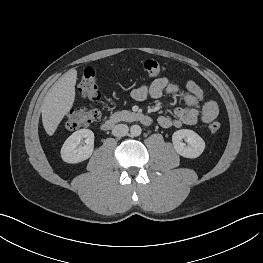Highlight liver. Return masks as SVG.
I'll return each instance as SVG.
<instances>
[{
    "label": "liver",
    "mask_w": 263,
    "mask_h": 263,
    "mask_svg": "<svg viewBox=\"0 0 263 263\" xmlns=\"http://www.w3.org/2000/svg\"><path fill=\"white\" fill-rule=\"evenodd\" d=\"M77 71L70 69L59 78L44 97L41 113L46 133L52 136L64 116L73 107Z\"/></svg>",
    "instance_id": "1"
}]
</instances>
